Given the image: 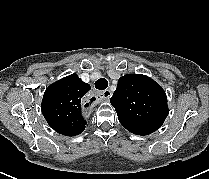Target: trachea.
I'll list each match as a JSON object with an SVG mask.
<instances>
[{"instance_id":"trachea-1","label":"trachea","mask_w":209,"mask_h":179,"mask_svg":"<svg viewBox=\"0 0 209 179\" xmlns=\"http://www.w3.org/2000/svg\"><path fill=\"white\" fill-rule=\"evenodd\" d=\"M108 87V81L105 78H100L95 82V88L98 90H104Z\"/></svg>"}]
</instances>
